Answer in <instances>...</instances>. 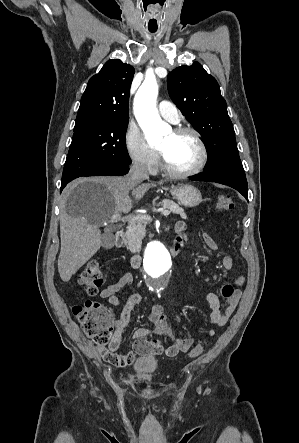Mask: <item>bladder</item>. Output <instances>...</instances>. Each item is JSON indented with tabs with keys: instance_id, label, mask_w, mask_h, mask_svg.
I'll return each instance as SVG.
<instances>
[{
	"instance_id": "1",
	"label": "bladder",
	"mask_w": 299,
	"mask_h": 443,
	"mask_svg": "<svg viewBox=\"0 0 299 443\" xmlns=\"http://www.w3.org/2000/svg\"><path fill=\"white\" fill-rule=\"evenodd\" d=\"M159 366V360L154 357H146L137 359L133 365L132 369L134 374L140 377H145L153 373Z\"/></svg>"
}]
</instances>
